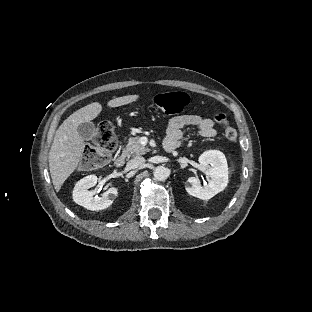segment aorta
<instances>
[{
  "instance_id": "1",
  "label": "aorta",
  "mask_w": 312,
  "mask_h": 312,
  "mask_svg": "<svg viewBox=\"0 0 312 312\" xmlns=\"http://www.w3.org/2000/svg\"><path fill=\"white\" fill-rule=\"evenodd\" d=\"M170 170L164 166L155 167L153 171L154 178L157 181H165L169 177Z\"/></svg>"
}]
</instances>
